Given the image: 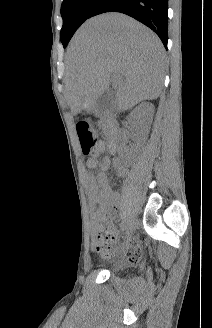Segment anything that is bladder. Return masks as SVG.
Wrapping results in <instances>:
<instances>
[{"label": "bladder", "instance_id": "31cf9c89", "mask_svg": "<svg viewBox=\"0 0 212 328\" xmlns=\"http://www.w3.org/2000/svg\"><path fill=\"white\" fill-rule=\"evenodd\" d=\"M126 267V264L121 261V260H116L113 261L110 265V271L111 273L115 274V273H120L124 270V268Z\"/></svg>", "mask_w": 212, "mask_h": 328}]
</instances>
